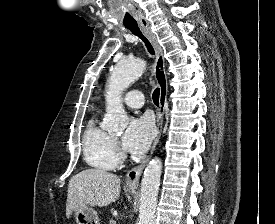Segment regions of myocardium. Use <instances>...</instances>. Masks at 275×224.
Here are the masks:
<instances>
[{"instance_id":"myocardium-1","label":"myocardium","mask_w":275,"mask_h":224,"mask_svg":"<svg viewBox=\"0 0 275 224\" xmlns=\"http://www.w3.org/2000/svg\"><path fill=\"white\" fill-rule=\"evenodd\" d=\"M119 158H123V155H120V157Z\"/></svg>"}]
</instances>
